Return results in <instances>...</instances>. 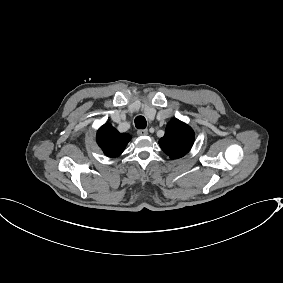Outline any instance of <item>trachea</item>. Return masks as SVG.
Returning a JSON list of instances; mask_svg holds the SVG:
<instances>
[{
    "mask_svg": "<svg viewBox=\"0 0 283 283\" xmlns=\"http://www.w3.org/2000/svg\"><path fill=\"white\" fill-rule=\"evenodd\" d=\"M147 125L146 119L144 118V116H137L135 118V126L138 129H145Z\"/></svg>",
    "mask_w": 283,
    "mask_h": 283,
    "instance_id": "trachea-1",
    "label": "trachea"
}]
</instances>
